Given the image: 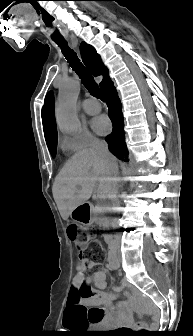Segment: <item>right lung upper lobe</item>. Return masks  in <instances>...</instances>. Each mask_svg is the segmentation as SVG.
<instances>
[{
    "mask_svg": "<svg viewBox=\"0 0 193 336\" xmlns=\"http://www.w3.org/2000/svg\"><path fill=\"white\" fill-rule=\"evenodd\" d=\"M80 50L83 62L93 73V75L104 76L102 82L100 83V88L102 89L104 84L110 80L108 69L103 65L100 56L96 53L95 49L91 45L82 42ZM42 122L47 143L53 138L57 137L54 118V98L51 92H49L45 97L44 106L42 108Z\"/></svg>",
    "mask_w": 193,
    "mask_h": 336,
    "instance_id": "right-lung-upper-lobe-1",
    "label": "right lung upper lobe"
}]
</instances>
